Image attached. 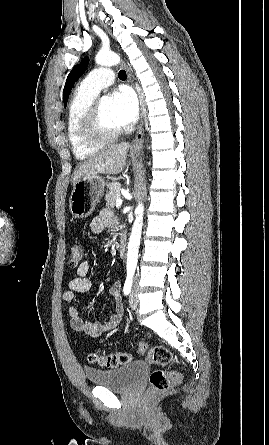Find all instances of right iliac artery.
<instances>
[{"label":"right iliac artery","instance_id":"1","mask_svg":"<svg viewBox=\"0 0 269 445\" xmlns=\"http://www.w3.org/2000/svg\"><path fill=\"white\" fill-rule=\"evenodd\" d=\"M131 287H132V278L128 277L125 281L123 288L124 295H128L130 293Z\"/></svg>","mask_w":269,"mask_h":445}]
</instances>
